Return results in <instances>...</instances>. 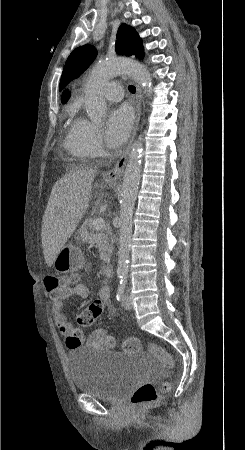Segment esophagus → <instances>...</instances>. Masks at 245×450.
<instances>
[{"instance_id": "obj_1", "label": "esophagus", "mask_w": 245, "mask_h": 450, "mask_svg": "<svg viewBox=\"0 0 245 450\" xmlns=\"http://www.w3.org/2000/svg\"><path fill=\"white\" fill-rule=\"evenodd\" d=\"M141 100H142L141 90H140L139 86L136 85V119H135V124H134V127H133V131H132V134H131V138H130V141H129L127 147L125 148L123 154L121 155V157L119 158L118 162L114 166V168L106 173L105 177L107 179H118L123 174L124 168L126 166L129 150H130V147H131V143H132V141H133V139L135 137V134H136V131H137V127H138V124H139V121H140Z\"/></svg>"}]
</instances>
